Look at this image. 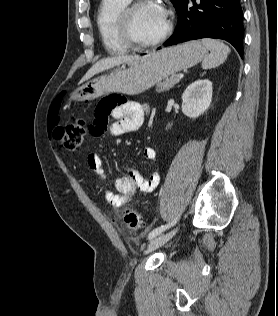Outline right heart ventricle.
<instances>
[{
    "instance_id": "right-heart-ventricle-1",
    "label": "right heart ventricle",
    "mask_w": 278,
    "mask_h": 316,
    "mask_svg": "<svg viewBox=\"0 0 278 316\" xmlns=\"http://www.w3.org/2000/svg\"><path fill=\"white\" fill-rule=\"evenodd\" d=\"M131 0H101L96 24L104 48L112 54H123L129 46L119 30V16Z\"/></svg>"
}]
</instances>
